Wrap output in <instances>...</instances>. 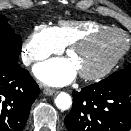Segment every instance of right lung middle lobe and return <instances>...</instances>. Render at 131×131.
I'll list each match as a JSON object with an SVG mask.
<instances>
[{
    "label": "right lung middle lobe",
    "mask_w": 131,
    "mask_h": 131,
    "mask_svg": "<svg viewBox=\"0 0 131 131\" xmlns=\"http://www.w3.org/2000/svg\"><path fill=\"white\" fill-rule=\"evenodd\" d=\"M7 21L5 16L0 15V65L16 63L22 47L20 35Z\"/></svg>",
    "instance_id": "obj_1"
}]
</instances>
